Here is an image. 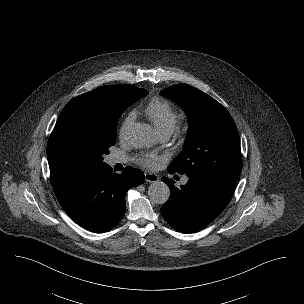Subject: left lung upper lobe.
<instances>
[{
  "label": "left lung upper lobe",
  "mask_w": 304,
  "mask_h": 304,
  "mask_svg": "<svg viewBox=\"0 0 304 304\" xmlns=\"http://www.w3.org/2000/svg\"><path fill=\"white\" fill-rule=\"evenodd\" d=\"M187 114L188 136L169 170L235 186L242 170L240 138L229 112L206 93L187 84L161 91Z\"/></svg>",
  "instance_id": "1"
}]
</instances>
